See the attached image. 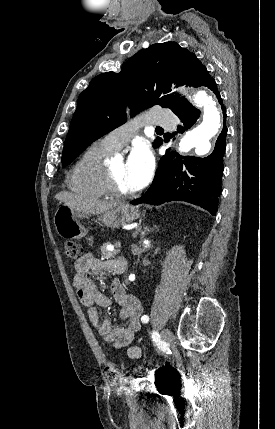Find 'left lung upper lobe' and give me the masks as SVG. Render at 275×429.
I'll list each match as a JSON object with an SVG mask.
<instances>
[{
	"label": "left lung upper lobe",
	"mask_w": 275,
	"mask_h": 429,
	"mask_svg": "<svg viewBox=\"0 0 275 429\" xmlns=\"http://www.w3.org/2000/svg\"><path fill=\"white\" fill-rule=\"evenodd\" d=\"M204 66L195 54L176 42L153 44L129 58L119 73L106 72L93 78L80 94L62 154L70 164L93 141L126 122L124 103L131 115L153 105L175 112L188 101L169 94L171 85L196 87ZM155 139L156 147L162 144Z\"/></svg>",
	"instance_id": "obj_1"
}]
</instances>
